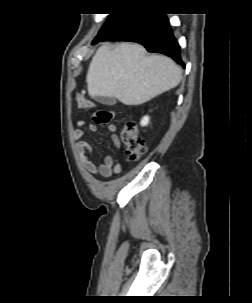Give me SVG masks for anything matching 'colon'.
<instances>
[{"mask_svg":"<svg viewBox=\"0 0 252 303\" xmlns=\"http://www.w3.org/2000/svg\"><path fill=\"white\" fill-rule=\"evenodd\" d=\"M78 106L82 109L92 108L95 106L94 102L84 100L82 97L77 98ZM114 114L112 111L99 109L96 110L92 116V121L95 124L106 125L112 122ZM121 141L125 147V150L129 158L133 161L142 157L145 152L144 143L139 135L138 129L135 123L127 122L121 131Z\"/></svg>","mask_w":252,"mask_h":303,"instance_id":"5ec220e1","label":"colon"}]
</instances>
